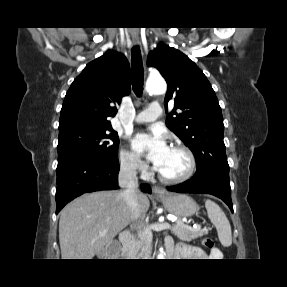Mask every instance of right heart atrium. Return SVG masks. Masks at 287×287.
I'll use <instances>...</instances> for the list:
<instances>
[{
	"label": "right heart atrium",
	"mask_w": 287,
	"mask_h": 287,
	"mask_svg": "<svg viewBox=\"0 0 287 287\" xmlns=\"http://www.w3.org/2000/svg\"><path fill=\"white\" fill-rule=\"evenodd\" d=\"M120 163L123 169L130 173L148 174L147 165L132 151L123 148L120 152Z\"/></svg>",
	"instance_id": "d8ad5b80"
}]
</instances>
